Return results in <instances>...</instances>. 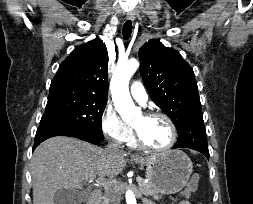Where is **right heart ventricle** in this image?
I'll use <instances>...</instances> for the list:
<instances>
[{"label":"right heart ventricle","instance_id":"e07e8e85","mask_svg":"<svg viewBox=\"0 0 253 204\" xmlns=\"http://www.w3.org/2000/svg\"><path fill=\"white\" fill-rule=\"evenodd\" d=\"M128 144H129V146H131V147H133V148L137 147V143H136L135 138L133 137V135H132L131 138L128 140Z\"/></svg>","mask_w":253,"mask_h":204}]
</instances>
